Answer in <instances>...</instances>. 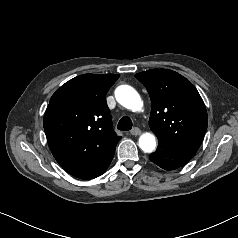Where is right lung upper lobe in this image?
Segmentation results:
<instances>
[{"label":"right lung upper lobe","instance_id":"right-lung-upper-lobe-1","mask_svg":"<svg viewBox=\"0 0 238 238\" xmlns=\"http://www.w3.org/2000/svg\"><path fill=\"white\" fill-rule=\"evenodd\" d=\"M120 75L83 74L51 97L43 125L49 148L71 175L100 176L114 156L121 136L112 128L106 93Z\"/></svg>","mask_w":238,"mask_h":238}]
</instances>
